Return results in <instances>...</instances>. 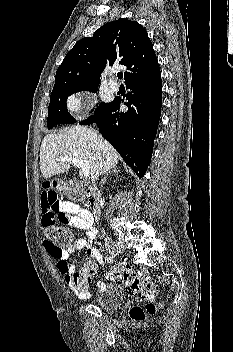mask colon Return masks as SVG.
<instances>
[{
    "label": "colon",
    "mask_w": 233,
    "mask_h": 352,
    "mask_svg": "<svg viewBox=\"0 0 233 352\" xmlns=\"http://www.w3.org/2000/svg\"><path fill=\"white\" fill-rule=\"evenodd\" d=\"M73 198L81 199L79 193H74ZM46 241L58 248H66L71 240L70 232L55 221L43 223ZM97 271V265L93 261H87L83 267L72 275V281L76 289L81 292H88L91 279ZM110 277L114 281L122 283L126 290L144 298L147 303L145 307L134 306L130 309L129 315L133 321H144L148 314H153L157 306L153 303L155 296L159 292V286L150 278H144L130 269L126 265L114 266L110 271Z\"/></svg>",
    "instance_id": "5ec220e1"
}]
</instances>
